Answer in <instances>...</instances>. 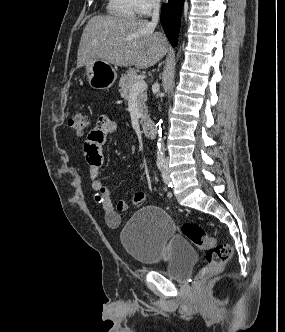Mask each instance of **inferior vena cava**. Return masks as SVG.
<instances>
[{
    "label": "inferior vena cava",
    "mask_w": 285,
    "mask_h": 332,
    "mask_svg": "<svg viewBox=\"0 0 285 332\" xmlns=\"http://www.w3.org/2000/svg\"><path fill=\"white\" fill-rule=\"evenodd\" d=\"M152 25L156 26L159 22V9H160V0H153L152 1Z\"/></svg>",
    "instance_id": "inferior-vena-cava-1"
}]
</instances>
